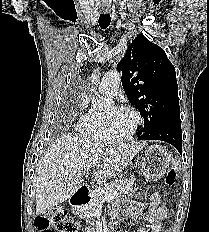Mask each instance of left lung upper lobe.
Returning a JSON list of instances; mask_svg holds the SVG:
<instances>
[{
  "label": "left lung upper lobe",
  "mask_w": 209,
  "mask_h": 232,
  "mask_svg": "<svg viewBox=\"0 0 209 232\" xmlns=\"http://www.w3.org/2000/svg\"><path fill=\"white\" fill-rule=\"evenodd\" d=\"M117 69L130 103L144 117L138 136L149 135L161 123L180 116L175 68L161 47L138 35Z\"/></svg>",
  "instance_id": "5c2ea615"
}]
</instances>
